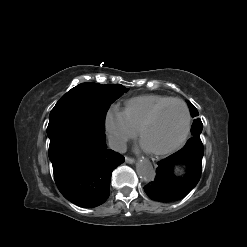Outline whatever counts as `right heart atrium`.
I'll return each instance as SVG.
<instances>
[{"label": "right heart atrium", "mask_w": 247, "mask_h": 247, "mask_svg": "<svg viewBox=\"0 0 247 247\" xmlns=\"http://www.w3.org/2000/svg\"><path fill=\"white\" fill-rule=\"evenodd\" d=\"M105 129L112 146L121 151L137 132L128 124L123 111L111 107L105 115Z\"/></svg>", "instance_id": "right-heart-atrium-1"}]
</instances>
